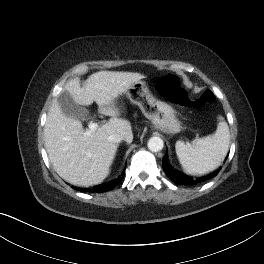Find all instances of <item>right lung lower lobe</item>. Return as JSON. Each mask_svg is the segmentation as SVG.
Segmentation results:
<instances>
[{
  "label": "right lung lower lobe",
  "instance_id": "right-lung-lower-lobe-1",
  "mask_svg": "<svg viewBox=\"0 0 264 264\" xmlns=\"http://www.w3.org/2000/svg\"><path fill=\"white\" fill-rule=\"evenodd\" d=\"M121 179H122V177H119L118 179H115V180H113L110 183H106V184L97 186L94 189H92L91 191H93V192H106V191H109L110 189L114 188L120 182ZM81 191L85 192L87 190H81Z\"/></svg>",
  "mask_w": 264,
  "mask_h": 264
}]
</instances>
